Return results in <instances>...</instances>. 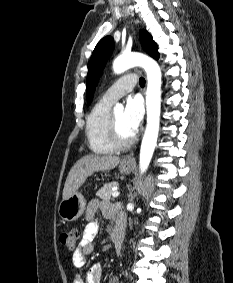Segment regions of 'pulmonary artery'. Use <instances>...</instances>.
<instances>
[{
	"label": "pulmonary artery",
	"mask_w": 233,
	"mask_h": 283,
	"mask_svg": "<svg viewBox=\"0 0 233 283\" xmlns=\"http://www.w3.org/2000/svg\"><path fill=\"white\" fill-rule=\"evenodd\" d=\"M136 83L135 74L124 75L104 92L102 99L114 103L126 93L132 91Z\"/></svg>",
	"instance_id": "1"
}]
</instances>
